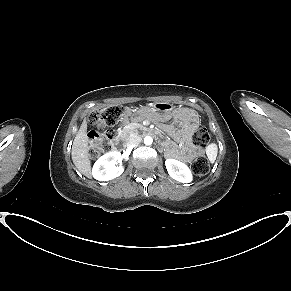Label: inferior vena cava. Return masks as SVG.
<instances>
[{"mask_svg": "<svg viewBox=\"0 0 291 291\" xmlns=\"http://www.w3.org/2000/svg\"><path fill=\"white\" fill-rule=\"evenodd\" d=\"M141 142V137L135 136L132 137L129 142L127 143V147L133 148Z\"/></svg>", "mask_w": 291, "mask_h": 291, "instance_id": "602c4592", "label": "inferior vena cava"}]
</instances>
